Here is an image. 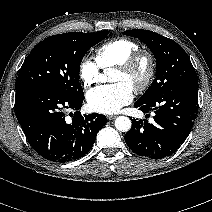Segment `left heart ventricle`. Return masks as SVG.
<instances>
[{
  "mask_svg": "<svg viewBox=\"0 0 212 212\" xmlns=\"http://www.w3.org/2000/svg\"><path fill=\"white\" fill-rule=\"evenodd\" d=\"M145 74V65L141 64L134 72L124 73L121 70L115 69L112 76V82H125L129 84L132 88L135 84L140 82Z\"/></svg>",
  "mask_w": 212,
  "mask_h": 212,
  "instance_id": "b2bd125f",
  "label": "left heart ventricle"
}]
</instances>
